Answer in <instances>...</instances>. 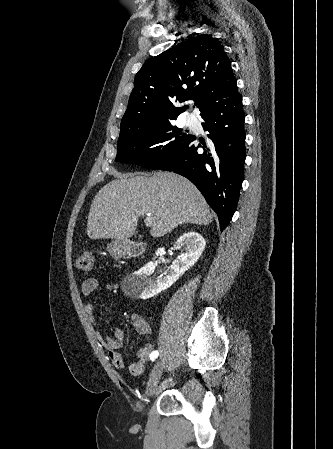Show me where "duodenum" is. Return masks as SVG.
I'll return each instance as SVG.
<instances>
[{"label": "duodenum", "instance_id": "410a0bca", "mask_svg": "<svg viewBox=\"0 0 333 449\" xmlns=\"http://www.w3.org/2000/svg\"><path fill=\"white\" fill-rule=\"evenodd\" d=\"M144 253V247L142 244L124 241L120 243L117 247V254L119 256L126 257H141Z\"/></svg>", "mask_w": 333, "mask_h": 449}]
</instances>
